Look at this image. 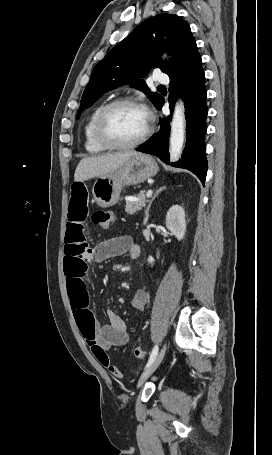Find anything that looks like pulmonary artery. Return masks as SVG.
Listing matches in <instances>:
<instances>
[{"label":"pulmonary artery","mask_w":272,"mask_h":455,"mask_svg":"<svg viewBox=\"0 0 272 455\" xmlns=\"http://www.w3.org/2000/svg\"><path fill=\"white\" fill-rule=\"evenodd\" d=\"M155 81L160 84H167L169 83V77L165 73L158 72L155 75Z\"/></svg>","instance_id":"1"}]
</instances>
